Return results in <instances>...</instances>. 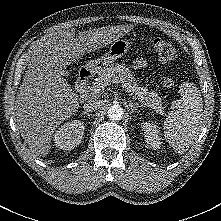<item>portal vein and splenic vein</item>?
I'll list each match as a JSON object with an SVG mask.
<instances>
[{
  "mask_svg": "<svg viewBox=\"0 0 221 221\" xmlns=\"http://www.w3.org/2000/svg\"><path fill=\"white\" fill-rule=\"evenodd\" d=\"M113 82H114V83H118V78L116 77L115 79H113ZM102 88H103V86H97V87H95L92 91H93L95 94H98V93L101 91Z\"/></svg>",
  "mask_w": 221,
  "mask_h": 221,
  "instance_id": "obj_1",
  "label": "portal vein and splenic vein"
}]
</instances>
